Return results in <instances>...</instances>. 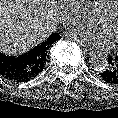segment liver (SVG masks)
<instances>
[{
	"mask_svg": "<svg viewBox=\"0 0 118 118\" xmlns=\"http://www.w3.org/2000/svg\"><path fill=\"white\" fill-rule=\"evenodd\" d=\"M55 0H0V49L22 54L46 40L57 27Z\"/></svg>",
	"mask_w": 118,
	"mask_h": 118,
	"instance_id": "liver-1",
	"label": "liver"
}]
</instances>
